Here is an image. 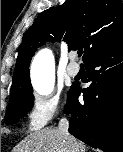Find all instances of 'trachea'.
Segmentation results:
<instances>
[{"label":"trachea","instance_id":"1","mask_svg":"<svg viewBox=\"0 0 123 152\" xmlns=\"http://www.w3.org/2000/svg\"><path fill=\"white\" fill-rule=\"evenodd\" d=\"M82 54H83V51H82V50H79V51H78L79 57H80Z\"/></svg>","mask_w":123,"mask_h":152}]
</instances>
